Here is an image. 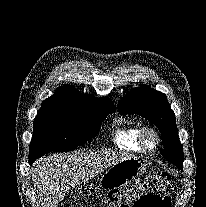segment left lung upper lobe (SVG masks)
<instances>
[{"mask_svg":"<svg viewBox=\"0 0 206 207\" xmlns=\"http://www.w3.org/2000/svg\"><path fill=\"white\" fill-rule=\"evenodd\" d=\"M118 105L120 114H139L155 124L162 136V156L178 168L182 167L183 148L179 141L175 114L165 94L143 86L133 89Z\"/></svg>","mask_w":206,"mask_h":207,"instance_id":"left-lung-upper-lobe-1","label":"left lung upper lobe"}]
</instances>
